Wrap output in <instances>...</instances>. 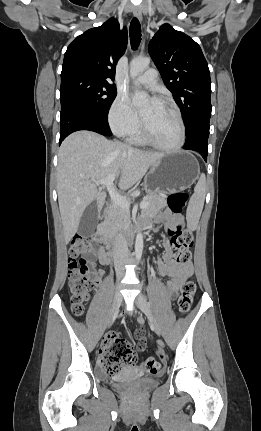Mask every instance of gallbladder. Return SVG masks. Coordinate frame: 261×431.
Segmentation results:
<instances>
[{
    "instance_id": "obj_1",
    "label": "gallbladder",
    "mask_w": 261,
    "mask_h": 431,
    "mask_svg": "<svg viewBox=\"0 0 261 431\" xmlns=\"http://www.w3.org/2000/svg\"><path fill=\"white\" fill-rule=\"evenodd\" d=\"M98 223V203L92 202L85 209L78 227V233L83 237L90 236Z\"/></svg>"
}]
</instances>
